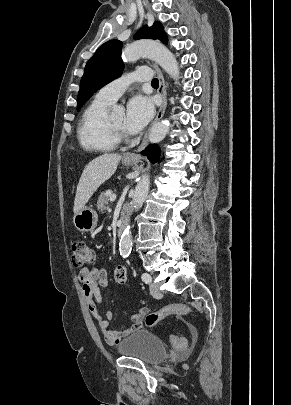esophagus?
<instances>
[{"label": "esophagus", "instance_id": "obj_1", "mask_svg": "<svg viewBox=\"0 0 291 405\" xmlns=\"http://www.w3.org/2000/svg\"><path fill=\"white\" fill-rule=\"evenodd\" d=\"M153 67H154L155 72L159 79L158 93L161 96L162 103L158 109L157 115H156L152 125L155 124L156 122H158L163 117L166 107H167V92H166V85H165V80H164L163 74L156 65H153ZM147 142H148V132L145 134L143 141L140 144V146L137 148V150L134 152H131V153H127L124 156V158L125 159H136L138 156L137 154L146 147Z\"/></svg>", "mask_w": 291, "mask_h": 405}]
</instances>
